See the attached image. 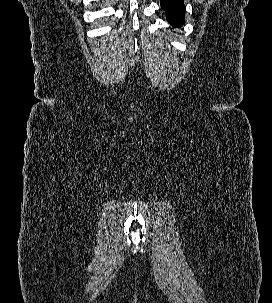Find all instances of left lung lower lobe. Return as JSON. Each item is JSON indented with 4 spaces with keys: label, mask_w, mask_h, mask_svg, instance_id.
Here are the masks:
<instances>
[{
    "label": "left lung lower lobe",
    "mask_w": 272,
    "mask_h": 303,
    "mask_svg": "<svg viewBox=\"0 0 272 303\" xmlns=\"http://www.w3.org/2000/svg\"><path fill=\"white\" fill-rule=\"evenodd\" d=\"M160 5L166 13L167 21L172 26L180 28L185 23L183 0H161Z\"/></svg>",
    "instance_id": "1"
}]
</instances>
